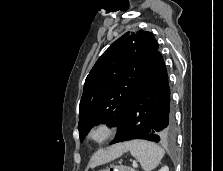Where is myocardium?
Returning <instances> with one entry per match:
<instances>
[{
    "instance_id": "f54148a6",
    "label": "myocardium",
    "mask_w": 223,
    "mask_h": 171,
    "mask_svg": "<svg viewBox=\"0 0 223 171\" xmlns=\"http://www.w3.org/2000/svg\"><path fill=\"white\" fill-rule=\"evenodd\" d=\"M116 128L107 121L94 124L88 131V139L97 145L107 142L115 134Z\"/></svg>"
}]
</instances>
